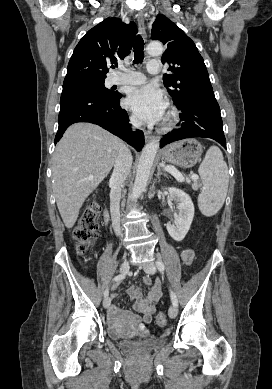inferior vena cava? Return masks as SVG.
<instances>
[{
    "instance_id": "602c4592",
    "label": "inferior vena cava",
    "mask_w": 272,
    "mask_h": 389,
    "mask_svg": "<svg viewBox=\"0 0 272 389\" xmlns=\"http://www.w3.org/2000/svg\"><path fill=\"white\" fill-rule=\"evenodd\" d=\"M130 123L133 127L139 128L142 126V122L131 118ZM132 155L126 145L122 144L115 163L114 170L112 172L109 186L111 188L110 191V212L112 219V226L117 236H121V227H120V198H121V189L123 187V183L126 180L127 176L130 173L132 166Z\"/></svg>"
}]
</instances>
